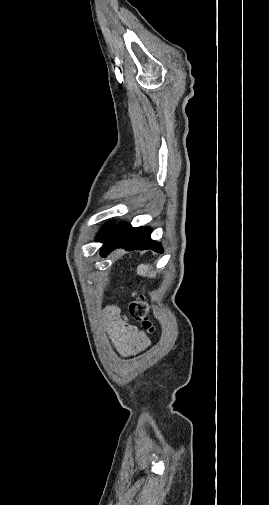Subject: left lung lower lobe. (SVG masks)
I'll list each match as a JSON object with an SVG mask.
<instances>
[{
    "label": "left lung lower lobe",
    "mask_w": 269,
    "mask_h": 505,
    "mask_svg": "<svg viewBox=\"0 0 269 505\" xmlns=\"http://www.w3.org/2000/svg\"><path fill=\"white\" fill-rule=\"evenodd\" d=\"M150 233V227L133 228L129 224L120 223L114 228L112 227L101 240L103 246L100 254L105 257L116 248H125L127 250L152 249L156 252H163L161 244L151 240Z\"/></svg>",
    "instance_id": "0a47b994"
}]
</instances>
